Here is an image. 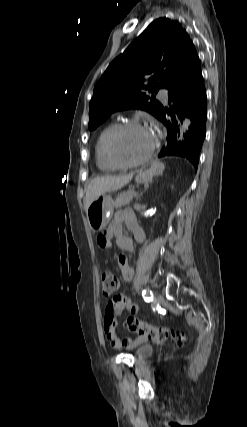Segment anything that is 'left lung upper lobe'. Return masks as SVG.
<instances>
[{
    "label": "left lung upper lobe",
    "mask_w": 247,
    "mask_h": 427,
    "mask_svg": "<svg viewBox=\"0 0 247 427\" xmlns=\"http://www.w3.org/2000/svg\"><path fill=\"white\" fill-rule=\"evenodd\" d=\"M198 60L189 35L178 21L168 18L153 21L111 62L96 83L89 104V130L96 129L117 110L143 109L158 118L163 106L147 92L169 89Z\"/></svg>",
    "instance_id": "obj_1"
}]
</instances>
